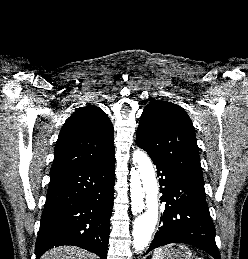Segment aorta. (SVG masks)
<instances>
[{
    "label": "aorta",
    "instance_id": "1",
    "mask_svg": "<svg viewBox=\"0 0 248 259\" xmlns=\"http://www.w3.org/2000/svg\"><path fill=\"white\" fill-rule=\"evenodd\" d=\"M133 161L138 166L130 172L131 209L135 216L132 236L133 248L142 252L148 247L159 216L158 185L155 171L147 154L137 148Z\"/></svg>",
    "mask_w": 248,
    "mask_h": 259
}]
</instances>
